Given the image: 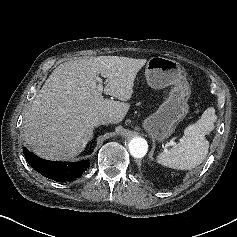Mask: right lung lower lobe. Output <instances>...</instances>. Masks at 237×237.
<instances>
[{
    "label": "right lung lower lobe",
    "instance_id": "1",
    "mask_svg": "<svg viewBox=\"0 0 237 237\" xmlns=\"http://www.w3.org/2000/svg\"><path fill=\"white\" fill-rule=\"evenodd\" d=\"M29 165L41 175L57 182L71 181L81 176L89 168V162H56L39 158L26 148L23 150Z\"/></svg>",
    "mask_w": 237,
    "mask_h": 237
}]
</instances>
